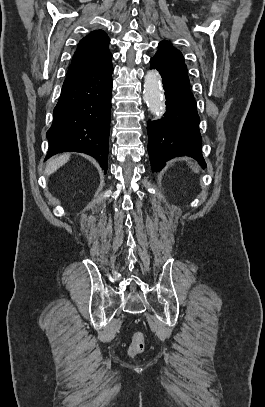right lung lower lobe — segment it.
I'll return each instance as SVG.
<instances>
[{"instance_id":"1","label":"right lung lower lobe","mask_w":265,"mask_h":407,"mask_svg":"<svg viewBox=\"0 0 265 407\" xmlns=\"http://www.w3.org/2000/svg\"><path fill=\"white\" fill-rule=\"evenodd\" d=\"M112 54L67 74L46 136V159L61 152L94 157L107 172L111 118Z\"/></svg>"}]
</instances>
